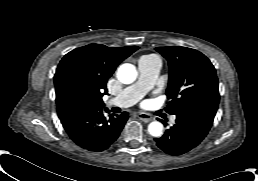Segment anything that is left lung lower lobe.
Instances as JSON below:
<instances>
[{
	"label": "left lung lower lobe",
	"mask_w": 258,
	"mask_h": 181,
	"mask_svg": "<svg viewBox=\"0 0 258 181\" xmlns=\"http://www.w3.org/2000/svg\"><path fill=\"white\" fill-rule=\"evenodd\" d=\"M214 116L202 112L177 114L175 125L166 130L162 137L154 139L156 145L170 155L184 154L205 138Z\"/></svg>",
	"instance_id": "obj_1"
}]
</instances>
